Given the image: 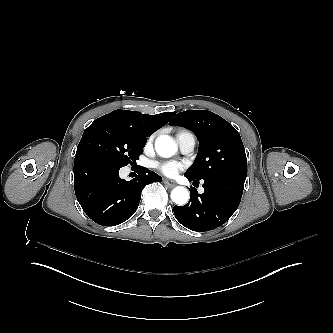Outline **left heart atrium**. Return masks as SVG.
Wrapping results in <instances>:
<instances>
[{
    "label": "left heart atrium",
    "mask_w": 333,
    "mask_h": 333,
    "mask_svg": "<svg viewBox=\"0 0 333 333\" xmlns=\"http://www.w3.org/2000/svg\"><path fill=\"white\" fill-rule=\"evenodd\" d=\"M184 164L176 161H168L159 166L161 173L168 177H174L184 169Z\"/></svg>",
    "instance_id": "1"
}]
</instances>
